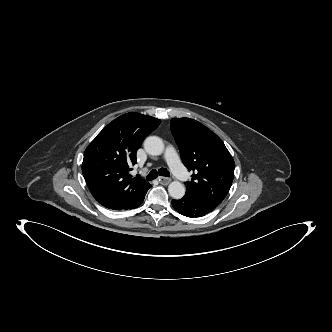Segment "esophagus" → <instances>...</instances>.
I'll use <instances>...</instances> for the list:
<instances>
[{
  "mask_svg": "<svg viewBox=\"0 0 332 332\" xmlns=\"http://www.w3.org/2000/svg\"><path fill=\"white\" fill-rule=\"evenodd\" d=\"M158 181L161 184L167 185L171 182V179L166 177H159Z\"/></svg>",
  "mask_w": 332,
  "mask_h": 332,
  "instance_id": "esophagus-1",
  "label": "esophagus"
}]
</instances>
